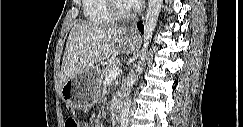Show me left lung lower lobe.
Returning a JSON list of instances; mask_svg holds the SVG:
<instances>
[{
	"label": "left lung lower lobe",
	"instance_id": "left-lung-lower-lobe-1",
	"mask_svg": "<svg viewBox=\"0 0 243 127\" xmlns=\"http://www.w3.org/2000/svg\"><path fill=\"white\" fill-rule=\"evenodd\" d=\"M138 29L141 33H143V25H142V22H139L138 23Z\"/></svg>",
	"mask_w": 243,
	"mask_h": 127
}]
</instances>
